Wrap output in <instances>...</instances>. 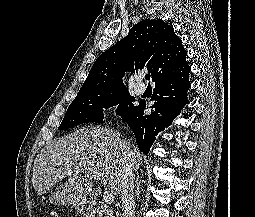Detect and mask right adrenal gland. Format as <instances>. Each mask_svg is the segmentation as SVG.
I'll return each mask as SVG.
<instances>
[{"label": "right adrenal gland", "mask_w": 255, "mask_h": 217, "mask_svg": "<svg viewBox=\"0 0 255 217\" xmlns=\"http://www.w3.org/2000/svg\"><path fill=\"white\" fill-rule=\"evenodd\" d=\"M140 190V183H139V177L136 180V196L139 198V191Z\"/></svg>", "instance_id": "2a0ac1e0"}]
</instances>
